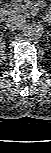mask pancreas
<instances>
[{"mask_svg":"<svg viewBox=\"0 0 51 153\" xmlns=\"http://www.w3.org/2000/svg\"><path fill=\"white\" fill-rule=\"evenodd\" d=\"M8 14L10 16L24 14V16L27 17L28 10H27L26 6L22 3H14V4L10 5V7L8 8Z\"/></svg>","mask_w":51,"mask_h":153,"instance_id":"cf45deb5","label":"pancreas"}]
</instances>
